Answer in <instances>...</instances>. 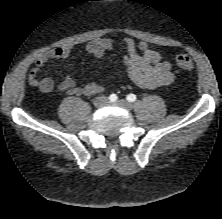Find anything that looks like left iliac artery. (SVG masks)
Masks as SVG:
<instances>
[{
    "label": "left iliac artery",
    "mask_w": 222,
    "mask_h": 219,
    "mask_svg": "<svg viewBox=\"0 0 222 219\" xmlns=\"http://www.w3.org/2000/svg\"><path fill=\"white\" fill-rule=\"evenodd\" d=\"M126 99H127L129 102H134V101L137 99V97H136L135 94H129Z\"/></svg>",
    "instance_id": "obj_1"
}]
</instances>
